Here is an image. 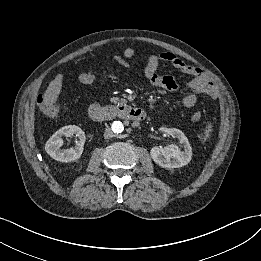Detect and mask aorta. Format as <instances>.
<instances>
[{"label": "aorta", "mask_w": 261, "mask_h": 261, "mask_svg": "<svg viewBox=\"0 0 261 261\" xmlns=\"http://www.w3.org/2000/svg\"><path fill=\"white\" fill-rule=\"evenodd\" d=\"M112 130H113V132L116 133V134L122 133L123 130H124V125H123V123L120 122V121H114V122L112 123Z\"/></svg>", "instance_id": "1"}]
</instances>
